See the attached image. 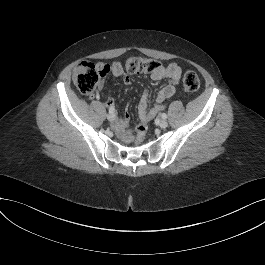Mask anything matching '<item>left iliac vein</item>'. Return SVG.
Here are the masks:
<instances>
[{"instance_id":"1","label":"left iliac vein","mask_w":265,"mask_h":265,"mask_svg":"<svg viewBox=\"0 0 265 265\" xmlns=\"http://www.w3.org/2000/svg\"><path fill=\"white\" fill-rule=\"evenodd\" d=\"M159 126L161 127V128H166L167 126H168V123H167V121L166 120H160V122H159Z\"/></svg>"}]
</instances>
